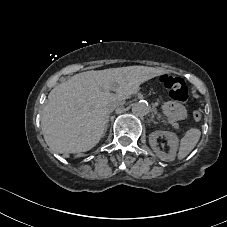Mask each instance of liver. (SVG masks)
<instances>
[{
	"mask_svg": "<svg viewBox=\"0 0 227 227\" xmlns=\"http://www.w3.org/2000/svg\"><path fill=\"white\" fill-rule=\"evenodd\" d=\"M161 71L145 66H129L77 74L55 86L42 109L41 129L45 143L54 154L87 152L103 137L110 90L129 96Z\"/></svg>",
	"mask_w": 227,
	"mask_h": 227,
	"instance_id": "obj_1",
	"label": "liver"
}]
</instances>
